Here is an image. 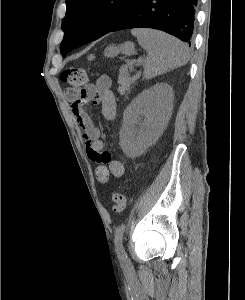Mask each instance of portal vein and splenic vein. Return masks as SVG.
<instances>
[{
	"label": "portal vein and splenic vein",
	"instance_id": "obj_1",
	"mask_svg": "<svg viewBox=\"0 0 245 300\" xmlns=\"http://www.w3.org/2000/svg\"><path fill=\"white\" fill-rule=\"evenodd\" d=\"M141 62H142V59H138V63H141ZM132 63H136V61L133 60Z\"/></svg>",
	"mask_w": 245,
	"mask_h": 300
}]
</instances>
